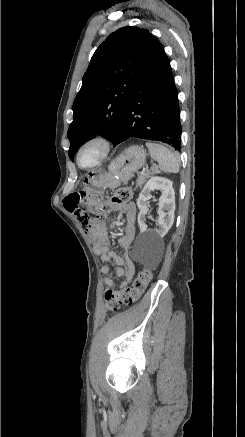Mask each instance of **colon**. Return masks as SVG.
<instances>
[{"label":"colon","instance_id":"obj_1","mask_svg":"<svg viewBox=\"0 0 245 437\" xmlns=\"http://www.w3.org/2000/svg\"><path fill=\"white\" fill-rule=\"evenodd\" d=\"M131 199V190L129 188L119 189L112 199L101 202L96 209V218L104 219L113 203H127ZM87 215V214H84ZM154 276V269L146 267L140 271L133 283L123 289L105 293V309L108 313H115L123 305H132L138 301L146 290L148 284Z\"/></svg>","mask_w":245,"mask_h":437}]
</instances>
